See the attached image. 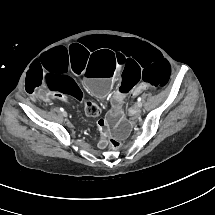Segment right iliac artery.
<instances>
[{
	"mask_svg": "<svg viewBox=\"0 0 215 215\" xmlns=\"http://www.w3.org/2000/svg\"><path fill=\"white\" fill-rule=\"evenodd\" d=\"M60 110L63 112L64 111V109L63 108H60Z\"/></svg>",
	"mask_w": 215,
	"mask_h": 215,
	"instance_id": "82829eb1",
	"label": "right iliac artery"
}]
</instances>
